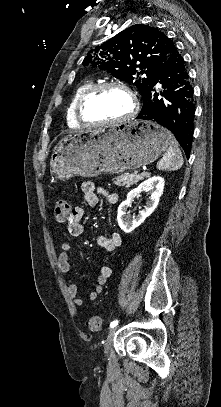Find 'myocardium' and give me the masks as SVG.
<instances>
[{"mask_svg": "<svg viewBox=\"0 0 221 407\" xmlns=\"http://www.w3.org/2000/svg\"><path fill=\"white\" fill-rule=\"evenodd\" d=\"M121 89L125 91L131 98L132 107L128 114L123 117L114 119V120H93L88 117L86 113V107L89 102L101 91L106 89ZM139 109V102L136 93L127 85L120 83V82H105L95 84L90 87L86 92H84L77 101L76 104V115L79 122L84 124H92V125H113V124H120L125 121H128L132 117H134Z\"/></svg>", "mask_w": 221, "mask_h": 407, "instance_id": "myocardium-1", "label": "myocardium"}]
</instances>
